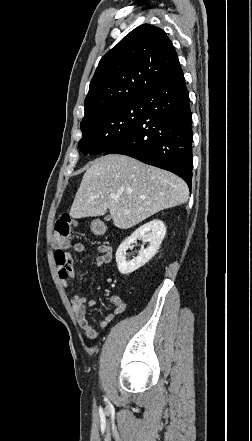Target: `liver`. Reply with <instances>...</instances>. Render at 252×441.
I'll return each instance as SVG.
<instances>
[{"mask_svg": "<svg viewBox=\"0 0 252 441\" xmlns=\"http://www.w3.org/2000/svg\"><path fill=\"white\" fill-rule=\"evenodd\" d=\"M188 197L187 184L173 173L111 154L94 160L87 169L70 215L79 219L109 210L113 224L128 229L161 210L184 204Z\"/></svg>", "mask_w": 252, "mask_h": 441, "instance_id": "liver-1", "label": "liver"}]
</instances>
